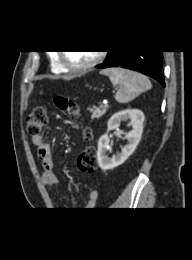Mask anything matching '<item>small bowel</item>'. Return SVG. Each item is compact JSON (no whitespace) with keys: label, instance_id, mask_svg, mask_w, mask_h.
<instances>
[{"label":"small bowel","instance_id":"1","mask_svg":"<svg viewBox=\"0 0 192 260\" xmlns=\"http://www.w3.org/2000/svg\"><path fill=\"white\" fill-rule=\"evenodd\" d=\"M33 144L37 148V155L41 162V179L44 184L49 186L59 185V178L54 172V155L52 147L49 141H47L42 135L32 138ZM98 200V191L91 190L88 196V200L84 205V210H91L96 206Z\"/></svg>","mask_w":192,"mask_h":260}]
</instances>
